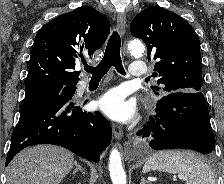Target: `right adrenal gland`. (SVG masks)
Here are the masks:
<instances>
[{
	"mask_svg": "<svg viewBox=\"0 0 224 184\" xmlns=\"http://www.w3.org/2000/svg\"><path fill=\"white\" fill-rule=\"evenodd\" d=\"M74 164H75L76 168L74 169L73 174L75 175L78 171H81L82 174L85 175V171H84L83 167H81V165H79L77 163V161H74Z\"/></svg>",
	"mask_w": 224,
	"mask_h": 184,
	"instance_id": "obj_1",
	"label": "right adrenal gland"
}]
</instances>
